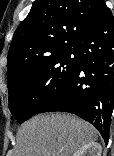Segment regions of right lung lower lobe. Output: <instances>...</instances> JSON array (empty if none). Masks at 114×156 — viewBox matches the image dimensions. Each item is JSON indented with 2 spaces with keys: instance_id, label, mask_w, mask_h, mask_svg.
<instances>
[{
  "instance_id": "98d812e1",
  "label": "right lung lower lobe",
  "mask_w": 114,
  "mask_h": 156,
  "mask_svg": "<svg viewBox=\"0 0 114 156\" xmlns=\"http://www.w3.org/2000/svg\"><path fill=\"white\" fill-rule=\"evenodd\" d=\"M78 67L42 112L64 111L93 124L105 142L114 105V18L106 11L76 43Z\"/></svg>"
}]
</instances>
